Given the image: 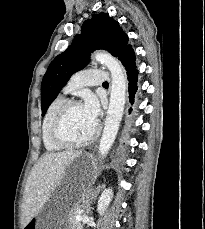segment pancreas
Masks as SVG:
<instances>
[{"mask_svg":"<svg viewBox=\"0 0 205 229\" xmlns=\"http://www.w3.org/2000/svg\"><path fill=\"white\" fill-rule=\"evenodd\" d=\"M76 209H74L71 214H70V217H69V223H70V229H83V226L82 224L77 221L75 218L76 216L79 215L78 212L75 211Z\"/></svg>","mask_w":205,"mask_h":229,"instance_id":"cf45deb5","label":"pancreas"}]
</instances>
